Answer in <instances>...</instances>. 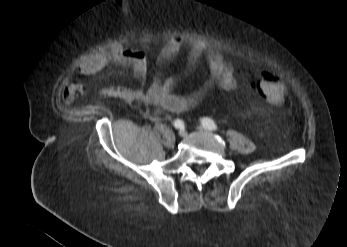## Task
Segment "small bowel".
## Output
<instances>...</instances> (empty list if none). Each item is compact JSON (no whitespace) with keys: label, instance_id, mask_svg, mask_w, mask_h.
I'll return each instance as SVG.
<instances>
[{"label":"small bowel","instance_id":"obj_1","mask_svg":"<svg viewBox=\"0 0 347 247\" xmlns=\"http://www.w3.org/2000/svg\"><path fill=\"white\" fill-rule=\"evenodd\" d=\"M186 46H188L187 69H193L199 60L205 57L209 75L198 89L186 95H179L174 93L178 79L174 76H162L161 68ZM111 63L130 68L139 86L130 88L112 85L106 88L108 93L127 102H141L146 106H152L154 109L146 111L145 116L155 122L162 119L163 111L181 113L194 108L215 87L224 91H233L239 85L233 64L217 49L200 42L188 45L181 38H170L163 43L156 58L157 75L146 89L143 85L147 78L148 64L143 49H125L118 46L99 51L80 60L77 70L83 76H91ZM82 90V86L78 83L67 85L62 92L63 101L67 104L72 103Z\"/></svg>","mask_w":347,"mask_h":247}]
</instances>
